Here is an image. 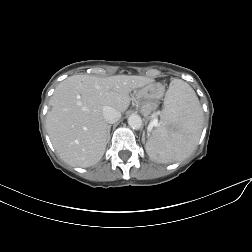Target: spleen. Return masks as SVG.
Wrapping results in <instances>:
<instances>
[{
	"label": "spleen",
	"mask_w": 252,
	"mask_h": 252,
	"mask_svg": "<svg viewBox=\"0 0 252 252\" xmlns=\"http://www.w3.org/2000/svg\"><path fill=\"white\" fill-rule=\"evenodd\" d=\"M161 116V125L152 131L145 145L147 154L160 163L186 158L196 147L203 125L199 100L189 84L181 79L170 83Z\"/></svg>",
	"instance_id": "1"
}]
</instances>
